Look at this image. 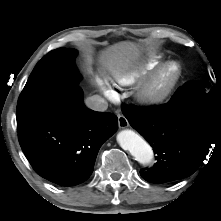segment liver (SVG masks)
Here are the masks:
<instances>
[{
    "mask_svg": "<svg viewBox=\"0 0 221 221\" xmlns=\"http://www.w3.org/2000/svg\"><path fill=\"white\" fill-rule=\"evenodd\" d=\"M139 49L132 42H120L100 54V62L115 74L127 70L138 60Z\"/></svg>",
    "mask_w": 221,
    "mask_h": 221,
    "instance_id": "liver-1",
    "label": "liver"
}]
</instances>
